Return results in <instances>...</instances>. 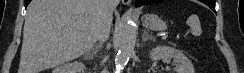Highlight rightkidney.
Wrapping results in <instances>:
<instances>
[{"instance_id":"ca27d5eb","label":"right kidney","mask_w":244,"mask_h":73,"mask_svg":"<svg viewBox=\"0 0 244 73\" xmlns=\"http://www.w3.org/2000/svg\"><path fill=\"white\" fill-rule=\"evenodd\" d=\"M85 65L81 62H71L56 67L52 73H81Z\"/></svg>"}]
</instances>
